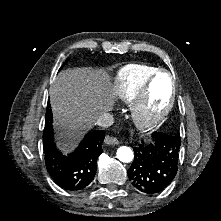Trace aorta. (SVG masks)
Instances as JSON below:
<instances>
[{
	"label": "aorta",
	"instance_id": "aorta-1",
	"mask_svg": "<svg viewBox=\"0 0 221 221\" xmlns=\"http://www.w3.org/2000/svg\"><path fill=\"white\" fill-rule=\"evenodd\" d=\"M117 158L125 163L131 162L134 158L133 151L127 146H121L117 150Z\"/></svg>",
	"mask_w": 221,
	"mask_h": 221
}]
</instances>
